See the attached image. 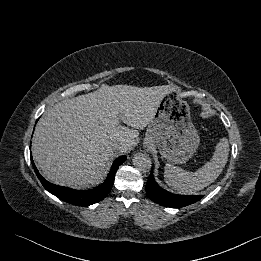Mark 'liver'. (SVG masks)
Segmentation results:
<instances>
[{
	"label": "liver",
	"instance_id": "liver-1",
	"mask_svg": "<svg viewBox=\"0 0 261 261\" xmlns=\"http://www.w3.org/2000/svg\"><path fill=\"white\" fill-rule=\"evenodd\" d=\"M172 85L135 87L102 85L98 90L63 100L38 122L32 144L43 176L57 185L87 189L103 182L114 143L126 153L139 129L153 119ZM120 121L127 126L120 124Z\"/></svg>",
	"mask_w": 261,
	"mask_h": 261
}]
</instances>
